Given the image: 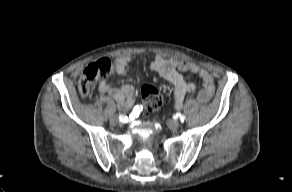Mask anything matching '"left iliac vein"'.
Listing matches in <instances>:
<instances>
[{"mask_svg": "<svg viewBox=\"0 0 292 192\" xmlns=\"http://www.w3.org/2000/svg\"><path fill=\"white\" fill-rule=\"evenodd\" d=\"M179 122L176 120H172V119H168L167 120V126L172 129V130H176L179 127Z\"/></svg>", "mask_w": 292, "mask_h": 192, "instance_id": "left-iliac-vein-1", "label": "left iliac vein"}]
</instances>
